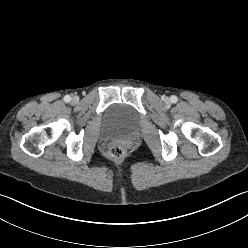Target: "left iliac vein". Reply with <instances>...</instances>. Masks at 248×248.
Masks as SVG:
<instances>
[{
	"instance_id": "left-iliac-vein-1",
	"label": "left iliac vein",
	"mask_w": 248,
	"mask_h": 248,
	"mask_svg": "<svg viewBox=\"0 0 248 248\" xmlns=\"http://www.w3.org/2000/svg\"><path fill=\"white\" fill-rule=\"evenodd\" d=\"M168 100H169L168 98L165 99V101H168Z\"/></svg>"
}]
</instances>
